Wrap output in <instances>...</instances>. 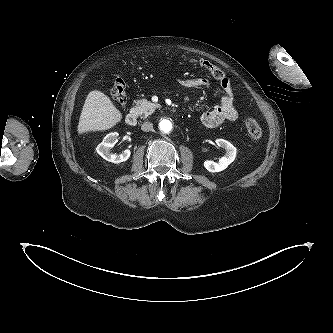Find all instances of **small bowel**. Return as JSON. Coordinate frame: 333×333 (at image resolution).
Listing matches in <instances>:
<instances>
[{
  "label": "small bowel",
  "instance_id": "obj_1",
  "mask_svg": "<svg viewBox=\"0 0 333 333\" xmlns=\"http://www.w3.org/2000/svg\"><path fill=\"white\" fill-rule=\"evenodd\" d=\"M181 85L187 88L209 87L210 83L204 78L184 77ZM222 96L218 105L204 112L201 116L202 123L207 127H216L224 121H235L238 118V109L235 97L227 78L221 80Z\"/></svg>",
  "mask_w": 333,
  "mask_h": 333
}]
</instances>
